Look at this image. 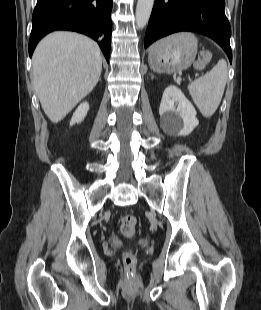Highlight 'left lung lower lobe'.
Masks as SVG:
<instances>
[{"label": "left lung lower lobe", "instance_id": "0a47b994", "mask_svg": "<svg viewBox=\"0 0 261 310\" xmlns=\"http://www.w3.org/2000/svg\"><path fill=\"white\" fill-rule=\"evenodd\" d=\"M225 0H155L144 46L179 31L206 35L217 42L232 62L231 27L224 12Z\"/></svg>", "mask_w": 261, "mask_h": 310}]
</instances>
